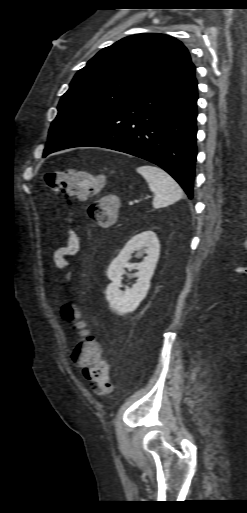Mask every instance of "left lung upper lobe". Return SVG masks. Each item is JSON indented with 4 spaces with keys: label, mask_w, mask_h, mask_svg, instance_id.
<instances>
[{
    "label": "left lung upper lobe",
    "mask_w": 247,
    "mask_h": 513,
    "mask_svg": "<svg viewBox=\"0 0 247 513\" xmlns=\"http://www.w3.org/2000/svg\"><path fill=\"white\" fill-rule=\"evenodd\" d=\"M190 63L187 48L163 34H137L102 49L77 72L62 96L43 156Z\"/></svg>",
    "instance_id": "obj_1"
}]
</instances>
